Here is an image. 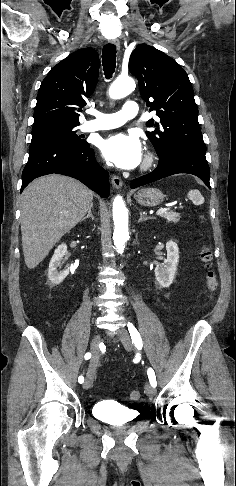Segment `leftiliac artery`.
I'll use <instances>...</instances> for the list:
<instances>
[{
  "label": "left iliac artery",
  "instance_id": "1",
  "mask_svg": "<svg viewBox=\"0 0 236 486\" xmlns=\"http://www.w3.org/2000/svg\"><path fill=\"white\" fill-rule=\"evenodd\" d=\"M128 330H129L132 342H134V344L137 347H141L142 346L141 336H140L139 332L137 331V329L130 322L128 323ZM147 374H148L150 384L153 387H156L157 382H156V377H155V373H154L153 369L149 368L148 371H147Z\"/></svg>",
  "mask_w": 236,
  "mask_h": 486
}]
</instances>
